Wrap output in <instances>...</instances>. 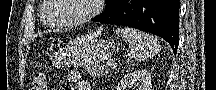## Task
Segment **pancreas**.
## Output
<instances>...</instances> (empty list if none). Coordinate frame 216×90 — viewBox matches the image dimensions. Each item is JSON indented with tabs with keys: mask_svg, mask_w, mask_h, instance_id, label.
Here are the masks:
<instances>
[{
	"mask_svg": "<svg viewBox=\"0 0 216 90\" xmlns=\"http://www.w3.org/2000/svg\"><path fill=\"white\" fill-rule=\"evenodd\" d=\"M90 76H92V78H96V76H98V74H102L103 72V68H101V64H90Z\"/></svg>",
	"mask_w": 216,
	"mask_h": 90,
	"instance_id": "obj_1",
	"label": "pancreas"
}]
</instances>
